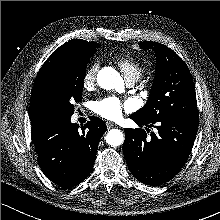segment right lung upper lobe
<instances>
[{
    "mask_svg": "<svg viewBox=\"0 0 220 220\" xmlns=\"http://www.w3.org/2000/svg\"><path fill=\"white\" fill-rule=\"evenodd\" d=\"M98 46L99 45L96 42H87L80 39H74L61 45L50 55L48 60L42 65L41 69L39 70L34 82L29 111V117L31 122L47 115L41 103L39 94L43 88L45 75L49 67H51L55 62H57L60 58L66 56L67 54L82 50L96 51Z\"/></svg>",
    "mask_w": 220,
    "mask_h": 220,
    "instance_id": "obj_1",
    "label": "right lung upper lobe"
}]
</instances>
